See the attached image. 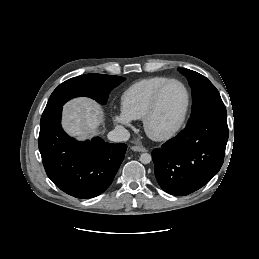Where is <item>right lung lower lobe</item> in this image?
<instances>
[{"mask_svg": "<svg viewBox=\"0 0 259 259\" xmlns=\"http://www.w3.org/2000/svg\"><path fill=\"white\" fill-rule=\"evenodd\" d=\"M62 106L43 112L39 150L48 177L65 193L76 198H92L112 183L127 149L99 137L79 142L61 127Z\"/></svg>", "mask_w": 259, "mask_h": 259, "instance_id": "1", "label": "right lung lower lobe"}]
</instances>
